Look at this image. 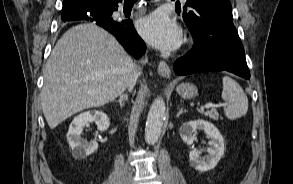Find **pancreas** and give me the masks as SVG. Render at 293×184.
Masks as SVG:
<instances>
[{"label": "pancreas", "mask_w": 293, "mask_h": 184, "mask_svg": "<svg viewBox=\"0 0 293 184\" xmlns=\"http://www.w3.org/2000/svg\"><path fill=\"white\" fill-rule=\"evenodd\" d=\"M205 116H208L209 118H211L213 120H218L219 119V114H218L216 109H212L210 111H207L205 113Z\"/></svg>", "instance_id": "1"}]
</instances>
